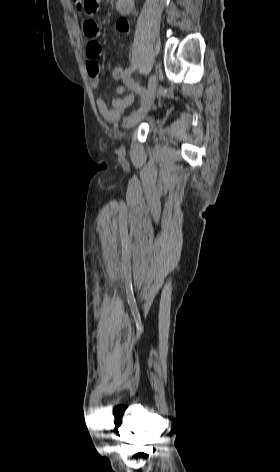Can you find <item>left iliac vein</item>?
Here are the masks:
<instances>
[{"label": "left iliac vein", "mask_w": 280, "mask_h": 472, "mask_svg": "<svg viewBox=\"0 0 280 472\" xmlns=\"http://www.w3.org/2000/svg\"><path fill=\"white\" fill-rule=\"evenodd\" d=\"M156 89H157L156 75L152 74L148 81L146 101L140 108L135 110L129 116V119L127 121V128L129 129L133 128L135 125H137L144 119L145 115L148 113V111L150 110L154 102V99L156 96Z\"/></svg>", "instance_id": "obj_1"}]
</instances>
